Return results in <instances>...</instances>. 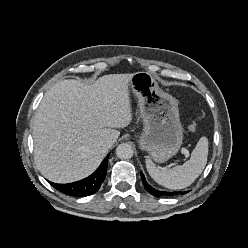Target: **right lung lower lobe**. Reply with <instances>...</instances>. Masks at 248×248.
<instances>
[{
	"label": "right lung lower lobe",
	"instance_id": "98d812e1",
	"mask_svg": "<svg viewBox=\"0 0 248 248\" xmlns=\"http://www.w3.org/2000/svg\"><path fill=\"white\" fill-rule=\"evenodd\" d=\"M108 157L103 160L99 168L87 178L70 184H57L49 182L58 191L76 197H85L95 193L105 179Z\"/></svg>",
	"mask_w": 248,
	"mask_h": 248
}]
</instances>
